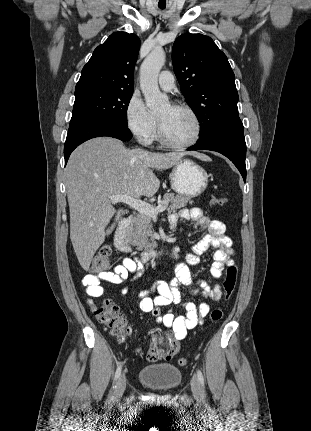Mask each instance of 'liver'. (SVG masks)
Wrapping results in <instances>:
<instances>
[{"label":"liver","mask_w":311,"mask_h":431,"mask_svg":"<svg viewBox=\"0 0 311 431\" xmlns=\"http://www.w3.org/2000/svg\"><path fill=\"white\" fill-rule=\"evenodd\" d=\"M184 156L201 160L197 152L155 154L126 150L123 142L115 138H93L74 150L65 168L70 239L85 271L98 247L125 214L123 208H113L109 196L153 198L160 188L153 170H169Z\"/></svg>","instance_id":"liver-1"}]
</instances>
